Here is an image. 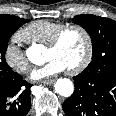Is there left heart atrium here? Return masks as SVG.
Here are the masks:
<instances>
[{
    "mask_svg": "<svg viewBox=\"0 0 116 116\" xmlns=\"http://www.w3.org/2000/svg\"><path fill=\"white\" fill-rule=\"evenodd\" d=\"M66 70V66L58 59L51 58L46 63L31 72V79L40 80L43 78L51 77Z\"/></svg>",
    "mask_w": 116,
    "mask_h": 116,
    "instance_id": "39dd6f15",
    "label": "left heart atrium"
}]
</instances>
